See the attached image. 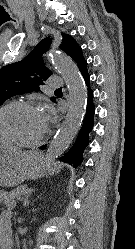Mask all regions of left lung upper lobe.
I'll use <instances>...</instances> for the list:
<instances>
[{
    "instance_id": "5c2ea615",
    "label": "left lung upper lobe",
    "mask_w": 135,
    "mask_h": 249,
    "mask_svg": "<svg viewBox=\"0 0 135 249\" xmlns=\"http://www.w3.org/2000/svg\"><path fill=\"white\" fill-rule=\"evenodd\" d=\"M62 34L60 48L68 54L79 69L87 64L82 49L75 39L68 34ZM51 44L50 38L41 40L38 45L21 61L6 65L0 69V105L12 96L30 93L43 84L51 71L43 63L42 54L46 53ZM55 102L54 98H51Z\"/></svg>"
}]
</instances>
